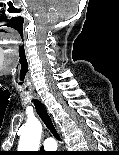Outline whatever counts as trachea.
Returning <instances> with one entry per match:
<instances>
[{"mask_svg": "<svg viewBox=\"0 0 119 155\" xmlns=\"http://www.w3.org/2000/svg\"><path fill=\"white\" fill-rule=\"evenodd\" d=\"M29 96V93H28ZM35 104V108H36V112L39 115V117L41 118V120L43 121V123L46 125V127L49 129V131L53 134V136L57 139V140H61L59 133L57 132L53 121L50 117V115L48 114L47 110L45 109V107L43 106V104L39 101H34Z\"/></svg>", "mask_w": 119, "mask_h": 155, "instance_id": "obj_1", "label": "trachea"}]
</instances>
